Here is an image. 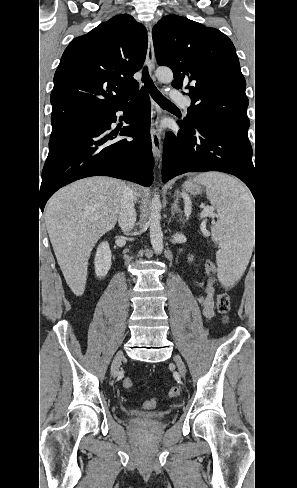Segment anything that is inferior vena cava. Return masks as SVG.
Wrapping results in <instances>:
<instances>
[{"label":"inferior vena cava","mask_w":297,"mask_h":488,"mask_svg":"<svg viewBox=\"0 0 297 488\" xmlns=\"http://www.w3.org/2000/svg\"><path fill=\"white\" fill-rule=\"evenodd\" d=\"M135 195L131 188L127 187L122 195L121 206L119 211L118 223L124 232H129L133 229L137 214L134 208Z\"/></svg>","instance_id":"obj_1"}]
</instances>
